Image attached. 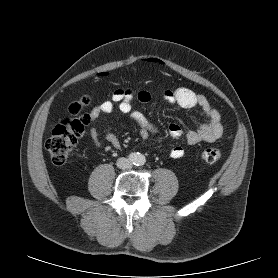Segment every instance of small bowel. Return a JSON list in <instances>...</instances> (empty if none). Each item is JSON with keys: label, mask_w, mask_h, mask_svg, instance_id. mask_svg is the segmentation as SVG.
Returning <instances> with one entry per match:
<instances>
[{"label": "small bowel", "mask_w": 278, "mask_h": 278, "mask_svg": "<svg viewBox=\"0 0 278 278\" xmlns=\"http://www.w3.org/2000/svg\"><path fill=\"white\" fill-rule=\"evenodd\" d=\"M107 75L108 74L106 73H100L97 77L105 78ZM162 98L167 103L177 105L183 109L200 108L207 118L208 121L202 124L198 129L189 130L185 133V138L188 144L196 145L200 142H214L222 136L223 125L221 114L218 109L211 105L209 100L203 94L196 93L187 87L180 86L174 89H165L162 93ZM134 100H138L141 103H148L152 100V95L146 89L136 91L130 87L119 88L112 93L110 100L102 102L91 111L90 120L92 125L90 127V135L96 146H100L97 129L94 126L96 119L101 114H110L114 112L116 108L122 113L127 114L128 117L138 126L139 134L142 139H150V134L155 130V126L143 114L133 110ZM168 133L173 139H179L184 135L181 127L175 123L170 124ZM105 137L115 149L121 147L118 137L112 132L108 130L105 131ZM184 153V148L180 145H176L171 149L170 156L173 159H179L183 157Z\"/></svg>", "instance_id": "obj_1"}]
</instances>
